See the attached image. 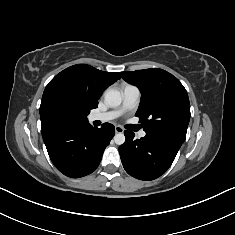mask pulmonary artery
Returning a JSON list of instances; mask_svg holds the SVG:
<instances>
[{
    "instance_id": "e3ab8cb5",
    "label": "pulmonary artery",
    "mask_w": 235,
    "mask_h": 235,
    "mask_svg": "<svg viewBox=\"0 0 235 235\" xmlns=\"http://www.w3.org/2000/svg\"><path fill=\"white\" fill-rule=\"evenodd\" d=\"M140 96L139 89L134 85H126L123 88V101L119 108L104 112V113H95L90 116V121H110L119 117L124 112L132 109L138 102ZM146 132L140 131L138 137H145Z\"/></svg>"
}]
</instances>
